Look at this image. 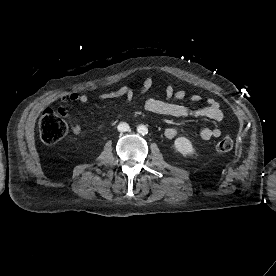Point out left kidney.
Returning <instances> with one entry per match:
<instances>
[{
  "label": "left kidney",
  "instance_id": "5707ae66",
  "mask_svg": "<svg viewBox=\"0 0 276 276\" xmlns=\"http://www.w3.org/2000/svg\"><path fill=\"white\" fill-rule=\"evenodd\" d=\"M174 146L178 152L183 155H193L195 149L192 146V143L186 137H178L174 141Z\"/></svg>",
  "mask_w": 276,
  "mask_h": 276
}]
</instances>
